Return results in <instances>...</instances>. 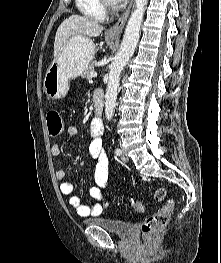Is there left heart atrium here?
<instances>
[{
	"instance_id": "obj_1",
	"label": "left heart atrium",
	"mask_w": 221,
	"mask_h": 263,
	"mask_svg": "<svg viewBox=\"0 0 221 263\" xmlns=\"http://www.w3.org/2000/svg\"><path fill=\"white\" fill-rule=\"evenodd\" d=\"M114 2H121V1H124V0H112Z\"/></svg>"
}]
</instances>
